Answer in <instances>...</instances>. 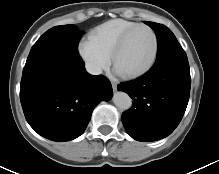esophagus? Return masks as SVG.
I'll use <instances>...</instances> for the list:
<instances>
[{"mask_svg":"<svg viewBox=\"0 0 219 174\" xmlns=\"http://www.w3.org/2000/svg\"><path fill=\"white\" fill-rule=\"evenodd\" d=\"M112 88L113 90H117V83L115 81H112Z\"/></svg>","mask_w":219,"mask_h":174,"instance_id":"1","label":"esophagus"}]
</instances>
